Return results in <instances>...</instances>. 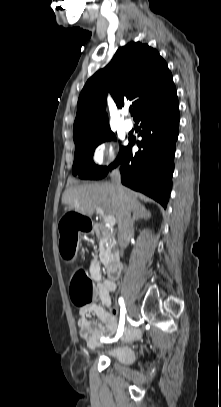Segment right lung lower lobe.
<instances>
[{
  "label": "right lung lower lobe",
  "mask_w": 221,
  "mask_h": 407,
  "mask_svg": "<svg viewBox=\"0 0 221 407\" xmlns=\"http://www.w3.org/2000/svg\"><path fill=\"white\" fill-rule=\"evenodd\" d=\"M135 120L141 122L142 127V140L136 143L139 151L132 152L135 140L129 139V145L114 167L120 164L123 185L152 197L166 208L180 120L175 86L142 110Z\"/></svg>",
  "instance_id": "right-lung-lower-lobe-1"
}]
</instances>
